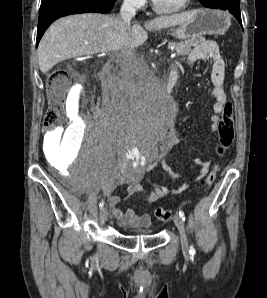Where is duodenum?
<instances>
[{
    "label": "duodenum",
    "mask_w": 267,
    "mask_h": 298,
    "mask_svg": "<svg viewBox=\"0 0 267 298\" xmlns=\"http://www.w3.org/2000/svg\"><path fill=\"white\" fill-rule=\"evenodd\" d=\"M176 80H177V70L175 68H172L169 72L166 82L162 85V86H167L168 94L174 88Z\"/></svg>",
    "instance_id": "obj_1"
}]
</instances>
